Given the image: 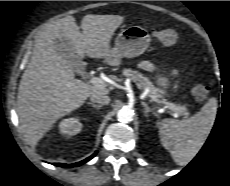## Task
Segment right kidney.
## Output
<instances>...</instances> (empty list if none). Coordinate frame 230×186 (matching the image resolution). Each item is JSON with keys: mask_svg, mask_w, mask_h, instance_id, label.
I'll return each instance as SVG.
<instances>
[{"mask_svg": "<svg viewBox=\"0 0 230 186\" xmlns=\"http://www.w3.org/2000/svg\"><path fill=\"white\" fill-rule=\"evenodd\" d=\"M82 127L83 125L80 122V120L74 117L64 119L59 124V129H60L61 134L68 136V137L74 136L80 133V131L82 130Z\"/></svg>", "mask_w": 230, "mask_h": 186, "instance_id": "1", "label": "right kidney"}]
</instances>
